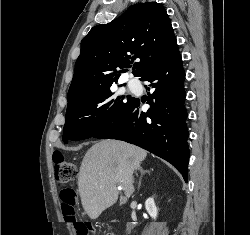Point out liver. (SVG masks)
Listing matches in <instances>:
<instances>
[{
    "mask_svg": "<svg viewBox=\"0 0 250 235\" xmlns=\"http://www.w3.org/2000/svg\"><path fill=\"white\" fill-rule=\"evenodd\" d=\"M146 156L145 150L116 140H102L87 151L79 171L78 189L91 219L117 201V185L124 190L126 199L132 195L133 172Z\"/></svg>",
    "mask_w": 250,
    "mask_h": 235,
    "instance_id": "obj_1",
    "label": "liver"
}]
</instances>
